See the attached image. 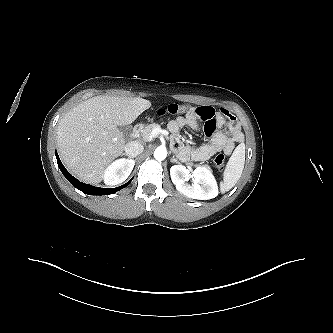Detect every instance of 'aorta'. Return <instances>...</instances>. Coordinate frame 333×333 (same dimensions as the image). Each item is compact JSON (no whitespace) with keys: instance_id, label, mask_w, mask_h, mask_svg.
Instances as JSON below:
<instances>
[{"instance_id":"obj_1","label":"aorta","mask_w":333,"mask_h":333,"mask_svg":"<svg viewBox=\"0 0 333 333\" xmlns=\"http://www.w3.org/2000/svg\"><path fill=\"white\" fill-rule=\"evenodd\" d=\"M167 157V150L165 147H157L154 151V158L158 161H162Z\"/></svg>"}]
</instances>
